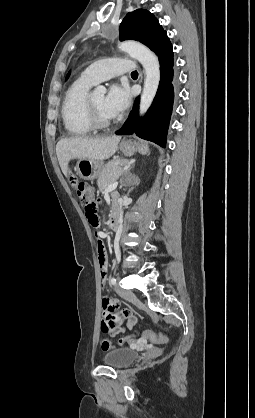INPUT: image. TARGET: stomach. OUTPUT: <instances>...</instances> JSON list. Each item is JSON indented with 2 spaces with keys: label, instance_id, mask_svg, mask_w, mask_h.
Segmentation results:
<instances>
[{
  "label": "stomach",
  "instance_id": "obj_1",
  "mask_svg": "<svg viewBox=\"0 0 255 418\" xmlns=\"http://www.w3.org/2000/svg\"><path fill=\"white\" fill-rule=\"evenodd\" d=\"M119 149L125 155L131 156L136 151L145 153L148 150V147L147 144L144 142H135L127 140L121 142ZM103 168L104 162L102 160L79 159L75 170L80 178L84 180H93L100 175Z\"/></svg>",
  "mask_w": 255,
  "mask_h": 418
}]
</instances>
